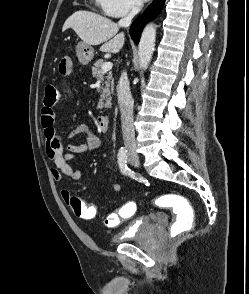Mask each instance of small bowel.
Returning a JSON list of instances; mask_svg holds the SVG:
<instances>
[{"label": "small bowel", "mask_w": 249, "mask_h": 294, "mask_svg": "<svg viewBox=\"0 0 249 294\" xmlns=\"http://www.w3.org/2000/svg\"><path fill=\"white\" fill-rule=\"evenodd\" d=\"M68 75L69 73L64 77H68ZM72 95V90L67 88L62 105L69 103L72 100ZM55 121L56 112L54 107L44 105L40 111V126L43 130L46 141V154L51 162V177L55 182H61L64 176L68 177L72 181H78L81 178V171L78 168H74L70 164V161L76 160L78 155L82 153L98 150L101 146V140L86 124H79L69 132L60 134L57 132L55 127ZM75 137H83L84 142L81 144L69 143L66 146L63 145V140ZM111 190L117 193L121 192L122 186L117 182H113L111 184ZM61 197L67 204H69L73 196L69 190L62 189ZM90 208L95 211L96 215L95 207L90 205ZM122 211L123 208L110 214L106 218L105 222L107 227L114 228L120 224L122 219L128 218L121 216ZM81 218L92 219L88 217Z\"/></svg>", "instance_id": "c3829d8e"}]
</instances>
